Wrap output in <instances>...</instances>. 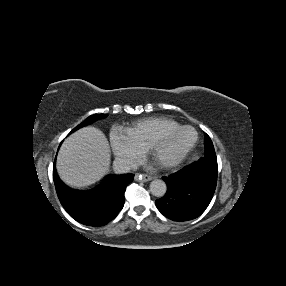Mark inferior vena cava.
Instances as JSON below:
<instances>
[{
	"instance_id": "602c4592",
	"label": "inferior vena cava",
	"mask_w": 286,
	"mask_h": 286,
	"mask_svg": "<svg viewBox=\"0 0 286 286\" xmlns=\"http://www.w3.org/2000/svg\"><path fill=\"white\" fill-rule=\"evenodd\" d=\"M136 165L133 161L125 158H116L114 162V170L118 174L128 173L135 169Z\"/></svg>"
}]
</instances>
